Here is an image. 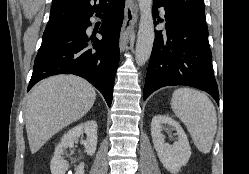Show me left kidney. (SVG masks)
Masks as SVG:
<instances>
[{
	"label": "left kidney",
	"instance_id": "5707ae66",
	"mask_svg": "<svg viewBox=\"0 0 249 174\" xmlns=\"http://www.w3.org/2000/svg\"><path fill=\"white\" fill-rule=\"evenodd\" d=\"M163 125L176 130L178 141L173 145L165 143L162 133ZM151 136L160 162L172 174L178 173L181 167L188 163L191 156V147L181 125L168 115H156L151 121Z\"/></svg>",
	"mask_w": 249,
	"mask_h": 174
}]
</instances>
